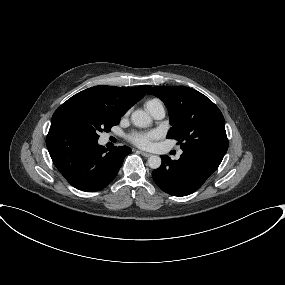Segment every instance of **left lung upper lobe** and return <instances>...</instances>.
I'll use <instances>...</instances> for the list:
<instances>
[{"label": "left lung upper lobe", "instance_id": "1", "mask_svg": "<svg viewBox=\"0 0 285 285\" xmlns=\"http://www.w3.org/2000/svg\"><path fill=\"white\" fill-rule=\"evenodd\" d=\"M166 105L171 128L167 138L182 150L213 151L225 155L228 139L218 107L202 93L184 86H157L148 91Z\"/></svg>", "mask_w": 285, "mask_h": 285}]
</instances>
